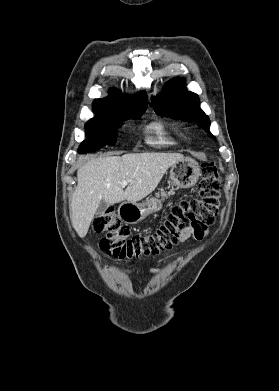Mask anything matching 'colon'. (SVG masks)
<instances>
[{"label":"colon","instance_id":"1","mask_svg":"<svg viewBox=\"0 0 279 391\" xmlns=\"http://www.w3.org/2000/svg\"><path fill=\"white\" fill-rule=\"evenodd\" d=\"M220 189L217 167L211 162L203 163L198 196L175 205L163 224L155 232L147 234L132 235L130 228L121 223L116 211L108 208L93 222L96 232L106 233L100 247L110 257L130 261L171 249L187 226L193 229L196 239H203L219 214Z\"/></svg>","mask_w":279,"mask_h":391}]
</instances>
